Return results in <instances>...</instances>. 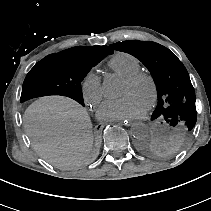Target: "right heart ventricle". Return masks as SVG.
<instances>
[{
    "label": "right heart ventricle",
    "instance_id": "right-heart-ventricle-1",
    "mask_svg": "<svg viewBox=\"0 0 211 211\" xmlns=\"http://www.w3.org/2000/svg\"><path fill=\"white\" fill-rule=\"evenodd\" d=\"M108 66L121 77H129L142 69L139 59L127 52H118L110 58Z\"/></svg>",
    "mask_w": 211,
    "mask_h": 211
}]
</instances>
